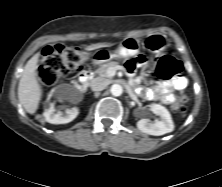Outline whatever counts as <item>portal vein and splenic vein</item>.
Segmentation results:
<instances>
[{
    "mask_svg": "<svg viewBox=\"0 0 222 187\" xmlns=\"http://www.w3.org/2000/svg\"><path fill=\"white\" fill-rule=\"evenodd\" d=\"M111 73L109 74L110 76H113L115 74V69H110Z\"/></svg>",
    "mask_w": 222,
    "mask_h": 187,
    "instance_id": "18ae733b",
    "label": "portal vein and splenic vein"
}]
</instances>
